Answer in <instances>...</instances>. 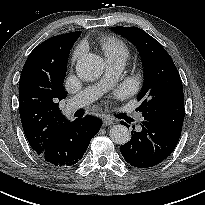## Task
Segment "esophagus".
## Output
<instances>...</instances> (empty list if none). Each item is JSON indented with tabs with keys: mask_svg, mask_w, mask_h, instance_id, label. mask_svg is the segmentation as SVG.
<instances>
[{
	"mask_svg": "<svg viewBox=\"0 0 205 205\" xmlns=\"http://www.w3.org/2000/svg\"><path fill=\"white\" fill-rule=\"evenodd\" d=\"M112 124H114V122H113V120L111 119V118H109V117H107V116H104L103 118H102V125L103 126H109V125H112Z\"/></svg>",
	"mask_w": 205,
	"mask_h": 205,
	"instance_id": "obj_1",
	"label": "esophagus"
}]
</instances>
